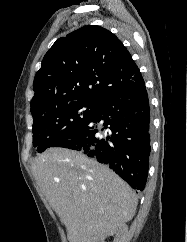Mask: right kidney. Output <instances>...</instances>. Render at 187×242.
Listing matches in <instances>:
<instances>
[{
    "mask_svg": "<svg viewBox=\"0 0 187 242\" xmlns=\"http://www.w3.org/2000/svg\"><path fill=\"white\" fill-rule=\"evenodd\" d=\"M109 235H115L113 242H127L128 227L126 224L119 225L107 233L93 237L89 242H104Z\"/></svg>",
    "mask_w": 187,
    "mask_h": 242,
    "instance_id": "obj_1",
    "label": "right kidney"
}]
</instances>
